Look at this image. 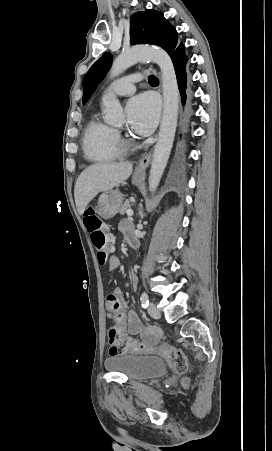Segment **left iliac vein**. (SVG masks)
I'll return each instance as SVG.
<instances>
[{"label": "left iliac vein", "mask_w": 272, "mask_h": 451, "mask_svg": "<svg viewBox=\"0 0 272 451\" xmlns=\"http://www.w3.org/2000/svg\"><path fill=\"white\" fill-rule=\"evenodd\" d=\"M148 314L152 317V318H160V311L159 309L156 307L155 304L150 303L148 305Z\"/></svg>", "instance_id": "4c4485c4"}]
</instances>
